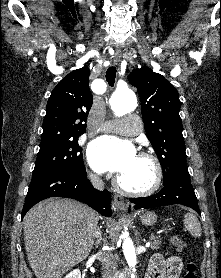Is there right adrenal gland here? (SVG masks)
<instances>
[{"label": "right adrenal gland", "instance_id": "1", "mask_svg": "<svg viewBox=\"0 0 221 278\" xmlns=\"http://www.w3.org/2000/svg\"><path fill=\"white\" fill-rule=\"evenodd\" d=\"M102 240V232L101 230L98 228L97 229V233H96V243H95V247H97L99 245V243Z\"/></svg>", "mask_w": 221, "mask_h": 278}]
</instances>
